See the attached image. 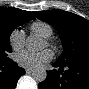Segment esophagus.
<instances>
[{"label":"esophagus","instance_id":"1","mask_svg":"<svg viewBox=\"0 0 89 89\" xmlns=\"http://www.w3.org/2000/svg\"><path fill=\"white\" fill-rule=\"evenodd\" d=\"M25 71H26V73H28V74H29V73H32V72H33V69H31V68H26V70H25Z\"/></svg>","mask_w":89,"mask_h":89}]
</instances>
